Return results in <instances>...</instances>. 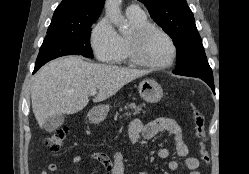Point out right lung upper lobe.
Instances as JSON below:
<instances>
[{"label":"right lung upper lobe","instance_id":"right-lung-upper-lobe-1","mask_svg":"<svg viewBox=\"0 0 249 174\" xmlns=\"http://www.w3.org/2000/svg\"><path fill=\"white\" fill-rule=\"evenodd\" d=\"M105 0H63L48 30L71 28L97 20Z\"/></svg>","mask_w":249,"mask_h":174}]
</instances>
